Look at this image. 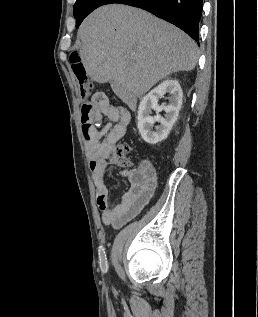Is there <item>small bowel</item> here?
<instances>
[{"instance_id":"small-bowel-1","label":"small bowel","mask_w":258,"mask_h":317,"mask_svg":"<svg viewBox=\"0 0 258 317\" xmlns=\"http://www.w3.org/2000/svg\"><path fill=\"white\" fill-rule=\"evenodd\" d=\"M87 113L97 121L107 118L110 122L94 142H86V151L102 221L106 225L120 228L136 217L148 204L156 189L157 173L148 160H141L135 168L124 171L123 174L129 181V188L118 203L109 205L106 172L113 147L126 134L131 114L124 106L110 104L106 95L99 92L94 94L88 105L81 106V121Z\"/></svg>"}]
</instances>
